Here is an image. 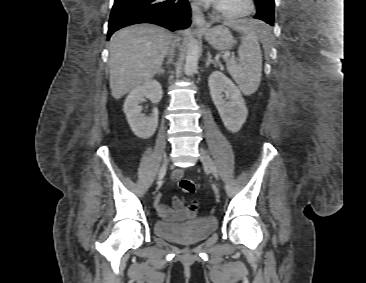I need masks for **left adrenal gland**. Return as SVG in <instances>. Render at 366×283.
I'll return each mask as SVG.
<instances>
[{
    "mask_svg": "<svg viewBox=\"0 0 366 283\" xmlns=\"http://www.w3.org/2000/svg\"><path fill=\"white\" fill-rule=\"evenodd\" d=\"M211 53L208 52V58H207V61H206V68H208L211 64L214 65V67H216V63L211 59Z\"/></svg>",
    "mask_w": 366,
    "mask_h": 283,
    "instance_id": "a2214340",
    "label": "left adrenal gland"
}]
</instances>
